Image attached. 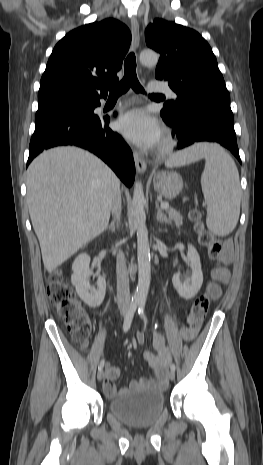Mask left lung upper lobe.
Wrapping results in <instances>:
<instances>
[{
    "instance_id": "left-lung-upper-lobe-1",
    "label": "left lung upper lobe",
    "mask_w": 263,
    "mask_h": 465,
    "mask_svg": "<svg viewBox=\"0 0 263 465\" xmlns=\"http://www.w3.org/2000/svg\"><path fill=\"white\" fill-rule=\"evenodd\" d=\"M146 43L160 53L155 77L168 81L177 94V100L166 103L163 112L172 115L204 103L230 107V95L217 60L198 32L155 19L146 29Z\"/></svg>"
}]
</instances>
